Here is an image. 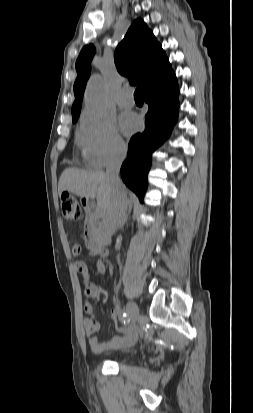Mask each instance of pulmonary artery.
<instances>
[{"label": "pulmonary artery", "mask_w": 253, "mask_h": 413, "mask_svg": "<svg viewBox=\"0 0 253 413\" xmlns=\"http://www.w3.org/2000/svg\"><path fill=\"white\" fill-rule=\"evenodd\" d=\"M117 103L121 107H132L135 101L131 92L128 89H123L117 96Z\"/></svg>", "instance_id": "e3ab8cb5"}]
</instances>
